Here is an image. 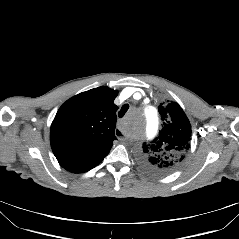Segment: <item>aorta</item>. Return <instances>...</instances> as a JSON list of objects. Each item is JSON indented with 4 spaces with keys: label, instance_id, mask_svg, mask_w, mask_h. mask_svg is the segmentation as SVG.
Wrapping results in <instances>:
<instances>
[{
    "label": "aorta",
    "instance_id": "762f6f07",
    "mask_svg": "<svg viewBox=\"0 0 239 239\" xmlns=\"http://www.w3.org/2000/svg\"><path fill=\"white\" fill-rule=\"evenodd\" d=\"M129 118H138L144 123L145 127H148L153 123H157L158 114L154 107L146 106Z\"/></svg>",
    "mask_w": 239,
    "mask_h": 239
}]
</instances>
